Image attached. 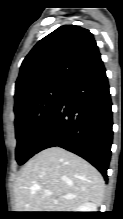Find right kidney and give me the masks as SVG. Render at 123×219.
<instances>
[{"label":"right kidney","mask_w":123,"mask_h":219,"mask_svg":"<svg viewBox=\"0 0 123 219\" xmlns=\"http://www.w3.org/2000/svg\"><path fill=\"white\" fill-rule=\"evenodd\" d=\"M76 212H97V206L94 203L88 202L80 206Z\"/></svg>","instance_id":"obj_1"}]
</instances>
